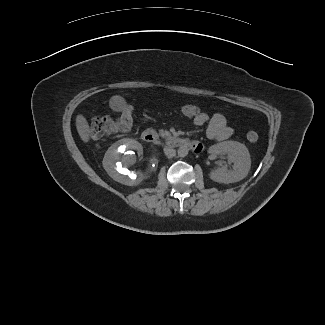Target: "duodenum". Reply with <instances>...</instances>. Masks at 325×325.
<instances>
[{"instance_id":"1","label":"duodenum","mask_w":325,"mask_h":325,"mask_svg":"<svg viewBox=\"0 0 325 325\" xmlns=\"http://www.w3.org/2000/svg\"><path fill=\"white\" fill-rule=\"evenodd\" d=\"M142 139L146 143H153L157 140V135L153 130L147 129L143 131ZM169 144L176 148H187L189 147L190 142L180 137H173L170 139ZM193 147H195V145Z\"/></svg>"}]
</instances>
